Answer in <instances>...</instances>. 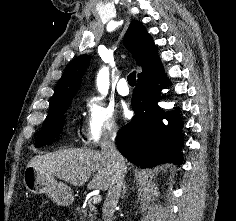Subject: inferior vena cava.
<instances>
[{
    "label": "inferior vena cava",
    "mask_w": 236,
    "mask_h": 221,
    "mask_svg": "<svg viewBox=\"0 0 236 221\" xmlns=\"http://www.w3.org/2000/svg\"><path fill=\"white\" fill-rule=\"evenodd\" d=\"M116 135L117 128L107 129L103 132L100 143L101 153L111 167V180L102 209L104 221H113V215L123 188L126 172L124 157L115 146Z\"/></svg>",
    "instance_id": "1"
}]
</instances>
